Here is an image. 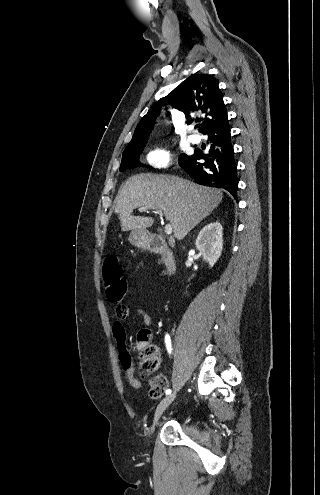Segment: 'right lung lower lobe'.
Segmentation results:
<instances>
[{
	"label": "right lung lower lobe",
	"instance_id": "98d812e1",
	"mask_svg": "<svg viewBox=\"0 0 320 495\" xmlns=\"http://www.w3.org/2000/svg\"><path fill=\"white\" fill-rule=\"evenodd\" d=\"M208 137L209 153L195 151L179 165L196 180L198 184L223 188L237 200V164L231 143L228 119L203 132ZM204 159V163L198 160Z\"/></svg>",
	"mask_w": 320,
	"mask_h": 495
}]
</instances>
